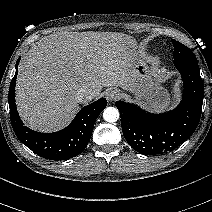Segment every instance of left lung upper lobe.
Instances as JSON below:
<instances>
[{
    "label": "left lung upper lobe",
    "instance_id": "1",
    "mask_svg": "<svg viewBox=\"0 0 212 212\" xmlns=\"http://www.w3.org/2000/svg\"><path fill=\"white\" fill-rule=\"evenodd\" d=\"M172 43L174 46V61L175 60H196L195 55L193 52L180 42L173 40Z\"/></svg>",
    "mask_w": 212,
    "mask_h": 212
}]
</instances>
